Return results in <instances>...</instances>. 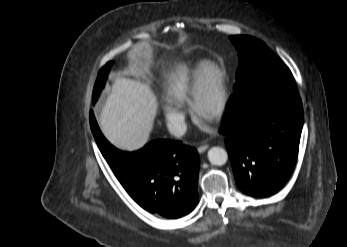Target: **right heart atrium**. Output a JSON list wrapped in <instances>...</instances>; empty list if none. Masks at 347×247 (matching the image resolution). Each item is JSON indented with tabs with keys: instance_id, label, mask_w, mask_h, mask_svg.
Returning <instances> with one entry per match:
<instances>
[{
	"instance_id": "obj_1",
	"label": "right heart atrium",
	"mask_w": 347,
	"mask_h": 247,
	"mask_svg": "<svg viewBox=\"0 0 347 247\" xmlns=\"http://www.w3.org/2000/svg\"><path fill=\"white\" fill-rule=\"evenodd\" d=\"M163 116L166 124L175 134H182L186 128V116L180 105L167 102L163 105Z\"/></svg>"
}]
</instances>
